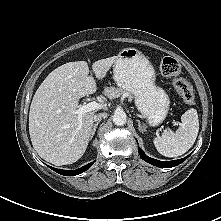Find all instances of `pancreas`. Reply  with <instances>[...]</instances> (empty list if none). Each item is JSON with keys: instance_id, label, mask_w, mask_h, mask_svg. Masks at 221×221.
Instances as JSON below:
<instances>
[{"instance_id": "pancreas-1", "label": "pancreas", "mask_w": 221, "mask_h": 221, "mask_svg": "<svg viewBox=\"0 0 221 221\" xmlns=\"http://www.w3.org/2000/svg\"><path fill=\"white\" fill-rule=\"evenodd\" d=\"M104 95L109 99L118 98L120 96L128 97L130 100L132 99V95L129 92H127L121 88H115L113 86L106 87L104 89Z\"/></svg>"}]
</instances>
